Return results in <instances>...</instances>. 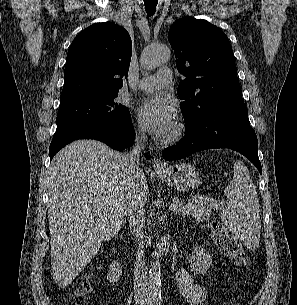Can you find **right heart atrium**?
<instances>
[{
	"label": "right heart atrium",
	"instance_id": "right-heart-atrium-1",
	"mask_svg": "<svg viewBox=\"0 0 297 305\" xmlns=\"http://www.w3.org/2000/svg\"><path fill=\"white\" fill-rule=\"evenodd\" d=\"M135 138L141 140L144 138V131L140 126H136L134 129Z\"/></svg>",
	"mask_w": 297,
	"mask_h": 305
}]
</instances>
